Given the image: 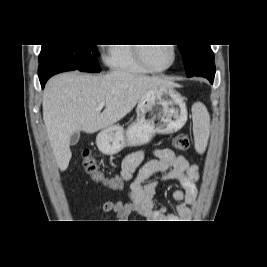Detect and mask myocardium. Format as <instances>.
<instances>
[{"label": "myocardium", "instance_id": "1", "mask_svg": "<svg viewBox=\"0 0 267 267\" xmlns=\"http://www.w3.org/2000/svg\"><path fill=\"white\" fill-rule=\"evenodd\" d=\"M171 45V49H172V53H173V58L172 61L169 65H167L166 67L163 68H156L153 67L146 59L145 57V52H144V44H137V46H135V53L137 56L138 61L144 66L146 67L149 71L151 72H156V73H161V72H165L167 70H169L170 68H172L174 66V64L176 63L177 60V48L175 45L170 44Z\"/></svg>", "mask_w": 267, "mask_h": 267}]
</instances>
